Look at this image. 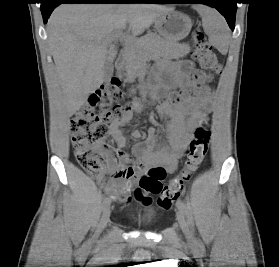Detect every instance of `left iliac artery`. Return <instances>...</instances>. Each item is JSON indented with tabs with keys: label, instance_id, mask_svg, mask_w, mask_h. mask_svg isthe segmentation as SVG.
Segmentation results:
<instances>
[{
	"label": "left iliac artery",
	"instance_id": "44dca946",
	"mask_svg": "<svg viewBox=\"0 0 279 267\" xmlns=\"http://www.w3.org/2000/svg\"><path fill=\"white\" fill-rule=\"evenodd\" d=\"M177 207L180 211H182L184 214H186L188 216V209H187L186 205L184 204V202L178 201L177 202Z\"/></svg>",
	"mask_w": 279,
	"mask_h": 267
}]
</instances>
